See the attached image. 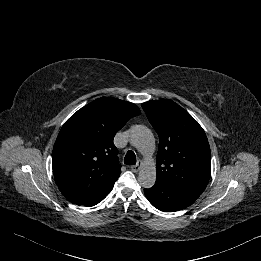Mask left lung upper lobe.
Listing matches in <instances>:
<instances>
[{
    "instance_id": "5c2ea615",
    "label": "left lung upper lobe",
    "mask_w": 261,
    "mask_h": 261,
    "mask_svg": "<svg viewBox=\"0 0 261 261\" xmlns=\"http://www.w3.org/2000/svg\"><path fill=\"white\" fill-rule=\"evenodd\" d=\"M141 106L159 136L156 183L201 194L211 175V152L202 127L171 100Z\"/></svg>"
}]
</instances>
